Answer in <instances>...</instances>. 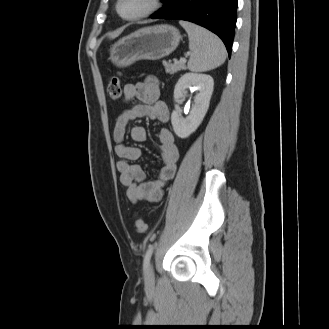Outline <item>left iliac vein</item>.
<instances>
[{"instance_id": "obj_1", "label": "left iliac vein", "mask_w": 329, "mask_h": 329, "mask_svg": "<svg viewBox=\"0 0 329 329\" xmlns=\"http://www.w3.org/2000/svg\"><path fill=\"white\" fill-rule=\"evenodd\" d=\"M154 280V271L152 265H149L147 271H146V281L152 282Z\"/></svg>"}]
</instances>
